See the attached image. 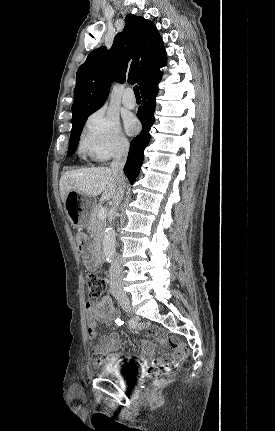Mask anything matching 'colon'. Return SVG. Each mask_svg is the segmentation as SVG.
<instances>
[{"label":"colon","instance_id":"colon-1","mask_svg":"<svg viewBox=\"0 0 275 431\" xmlns=\"http://www.w3.org/2000/svg\"><path fill=\"white\" fill-rule=\"evenodd\" d=\"M86 282L88 288V297L93 301L97 300L105 290V281L98 274L90 272L86 276ZM187 351V347L181 344L182 356H185ZM163 370H166L165 364H154L148 368L147 374L155 379V386H159L162 383L160 375Z\"/></svg>","mask_w":275,"mask_h":431}]
</instances>
